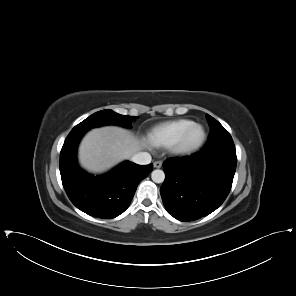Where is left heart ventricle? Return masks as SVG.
<instances>
[{"label":"left heart ventricle","mask_w":296,"mask_h":296,"mask_svg":"<svg viewBox=\"0 0 296 296\" xmlns=\"http://www.w3.org/2000/svg\"><path fill=\"white\" fill-rule=\"evenodd\" d=\"M200 137V129L199 128H192L190 132L184 139V146H192L194 145Z\"/></svg>","instance_id":"left-heart-ventricle-1"}]
</instances>
